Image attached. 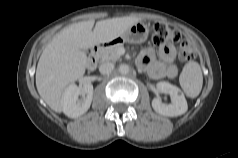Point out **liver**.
<instances>
[{"label":"liver","mask_w":238,"mask_h":158,"mask_svg":"<svg viewBox=\"0 0 238 158\" xmlns=\"http://www.w3.org/2000/svg\"><path fill=\"white\" fill-rule=\"evenodd\" d=\"M137 17H120L78 22L62 29L43 50L36 70V87L41 98L55 112H61L66 88L81 78L88 58L85 50L99 43L111 42ZM93 29V30H92Z\"/></svg>","instance_id":"1"}]
</instances>
